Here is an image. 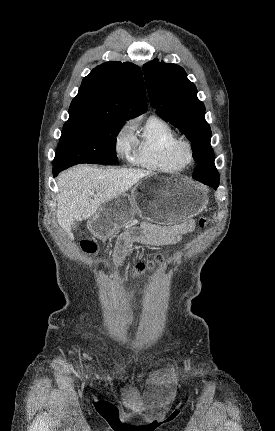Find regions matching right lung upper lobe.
Listing matches in <instances>:
<instances>
[{"mask_svg":"<svg viewBox=\"0 0 275 431\" xmlns=\"http://www.w3.org/2000/svg\"><path fill=\"white\" fill-rule=\"evenodd\" d=\"M147 111L142 72L130 62L110 61L83 78L69 116H113L123 120Z\"/></svg>","mask_w":275,"mask_h":431,"instance_id":"right-lung-upper-lobe-1","label":"right lung upper lobe"}]
</instances>
